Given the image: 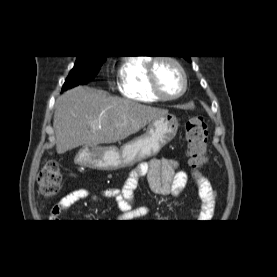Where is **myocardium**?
<instances>
[{
	"mask_svg": "<svg viewBox=\"0 0 277 277\" xmlns=\"http://www.w3.org/2000/svg\"><path fill=\"white\" fill-rule=\"evenodd\" d=\"M159 61H167V62L173 64L178 69V71L182 77L183 85H182V88L179 91V93H177L176 95H172V96L166 95L160 89L158 80H157V76H156V65ZM148 78H149V85H150L151 91L157 97H159L161 100H164V101L178 99L179 97L184 95V93L188 89V78H187L185 68L183 67L181 62L173 56L164 55V56H159V57L153 58L148 64Z\"/></svg>",
	"mask_w": 277,
	"mask_h": 277,
	"instance_id": "1",
	"label": "myocardium"
}]
</instances>
